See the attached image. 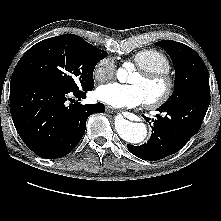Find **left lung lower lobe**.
<instances>
[{"label": "left lung lower lobe", "mask_w": 221, "mask_h": 221, "mask_svg": "<svg viewBox=\"0 0 221 221\" xmlns=\"http://www.w3.org/2000/svg\"><path fill=\"white\" fill-rule=\"evenodd\" d=\"M210 103V96L165 105L158 111L166 112L162 117L156 115L153 121L152 135L146 144L128 145V150L135 156L145 160H159L178 152L195 135L201 126ZM146 121L147 117L143 116Z\"/></svg>", "instance_id": "1"}]
</instances>
